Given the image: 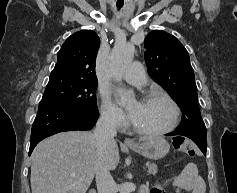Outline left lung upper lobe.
Returning a JSON list of instances; mask_svg holds the SVG:
<instances>
[{
    "label": "left lung upper lobe",
    "mask_w": 237,
    "mask_h": 193,
    "mask_svg": "<svg viewBox=\"0 0 237 193\" xmlns=\"http://www.w3.org/2000/svg\"><path fill=\"white\" fill-rule=\"evenodd\" d=\"M145 60L151 78L161 85L183 113L177 132L206 140L194 71L187 50L173 35L154 30L145 38Z\"/></svg>",
    "instance_id": "left-lung-upper-lobe-1"
}]
</instances>
